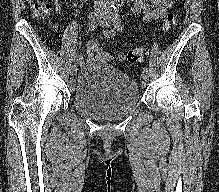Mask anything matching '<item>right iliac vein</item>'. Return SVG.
Instances as JSON below:
<instances>
[{
	"label": "right iliac vein",
	"mask_w": 219,
	"mask_h": 192,
	"mask_svg": "<svg viewBox=\"0 0 219 192\" xmlns=\"http://www.w3.org/2000/svg\"><path fill=\"white\" fill-rule=\"evenodd\" d=\"M93 14H94L95 17H100V16L103 15V11H102L101 8H96V9L94 10ZM77 70H78L77 64L74 63V64L71 66L70 74H71L72 76H74V75L77 73Z\"/></svg>",
	"instance_id": "right-iliac-vein-1"
}]
</instances>
